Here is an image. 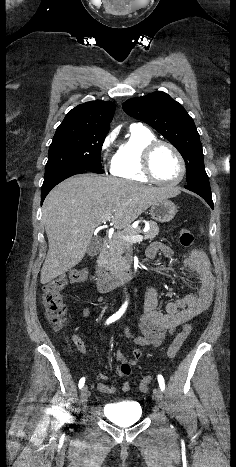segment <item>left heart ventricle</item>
I'll use <instances>...</instances> for the list:
<instances>
[{
  "instance_id": "obj_1",
  "label": "left heart ventricle",
  "mask_w": 236,
  "mask_h": 467,
  "mask_svg": "<svg viewBox=\"0 0 236 467\" xmlns=\"http://www.w3.org/2000/svg\"><path fill=\"white\" fill-rule=\"evenodd\" d=\"M152 167L155 175L162 181L171 182L180 176L181 168L177 156L168 147H160L156 150Z\"/></svg>"
}]
</instances>
